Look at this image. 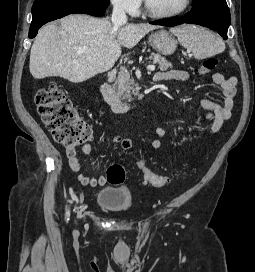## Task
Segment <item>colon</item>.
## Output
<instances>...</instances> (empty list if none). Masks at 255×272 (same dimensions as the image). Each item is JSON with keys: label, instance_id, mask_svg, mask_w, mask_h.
<instances>
[{"label": "colon", "instance_id": "5ec220e1", "mask_svg": "<svg viewBox=\"0 0 255 272\" xmlns=\"http://www.w3.org/2000/svg\"><path fill=\"white\" fill-rule=\"evenodd\" d=\"M217 63L215 57L206 58L198 68V73L201 76L207 75L215 69ZM35 104L42 122L54 140L66 149H75L91 139V127L77 116L76 110L58 85L50 84L40 89L35 95ZM139 167L151 186L162 187L169 182L168 177L152 172L144 163L140 162ZM107 178L111 184L122 183L125 179L124 168L117 163L111 164L107 170Z\"/></svg>", "mask_w": 255, "mask_h": 272}]
</instances>
